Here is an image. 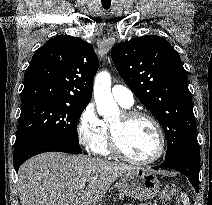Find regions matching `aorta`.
I'll use <instances>...</instances> for the list:
<instances>
[{
    "instance_id": "1",
    "label": "aorta",
    "mask_w": 212,
    "mask_h": 205,
    "mask_svg": "<svg viewBox=\"0 0 212 205\" xmlns=\"http://www.w3.org/2000/svg\"><path fill=\"white\" fill-rule=\"evenodd\" d=\"M93 95L100 115L110 116L118 110L111 93V76L107 71H101L96 75Z\"/></svg>"
}]
</instances>
